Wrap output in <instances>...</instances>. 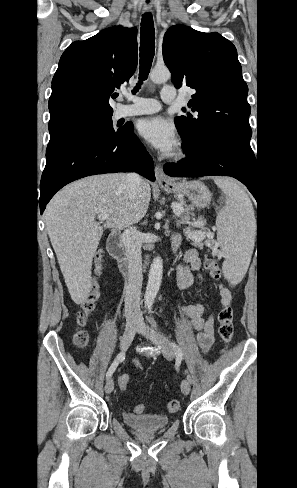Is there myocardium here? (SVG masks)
<instances>
[{"label": "myocardium", "mask_w": 297, "mask_h": 488, "mask_svg": "<svg viewBox=\"0 0 297 488\" xmlns=\"http://www.w3.org/2000/svg\"><path fill=\"white\" fill-rule=\"evenodd\" d=\"M185 156V150L183 147H179L171 156L173 161H179Z\"/></svg>", "instance_id": "f54148a6"}]
</instances>
